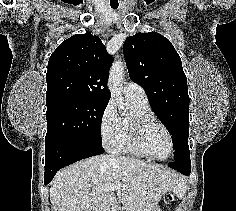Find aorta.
I'll list each match as a JSON object with an SVG mask.
<instances>
[{
  "label": "aorta",
  "instance_id": "obj_1",
  "mask_svg": "<svg viewBox=\"0 0 236 211\" xmlns=\"http://www.w3.org/2000/svg\"><path fill=\"white\" fill-rule=\"evenodd\" d=\"M124 69L125 65L122 61H115L110 69L108 79V89L111 97L116 100L120 110L126 109V104L122 97Z\"/></svg>",
  "mask_w": 236,
  "mask_h": 211
}]
</instances>
